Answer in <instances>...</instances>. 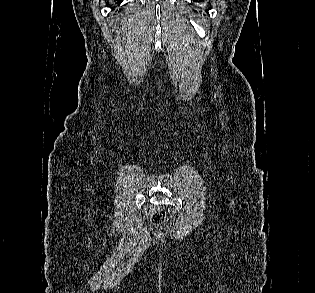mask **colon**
I'll return each instance as SVG.
<instances>
[{"instance_id": "obj_1", "label": "colon", "mask_w": 315, "mask_h": 293, "mask_svg": "<svg viewBox=\"0 0 315 293\" xmlns=\"http://www.w3.org/2000/svg\"><path fill=\"white\" fill-rule=\"evenodd\" d=\"M145 213L150 216L155 225H160L166 220V212L160 208L147 206L145 207Z\"/></svg>"}]
</instances>
